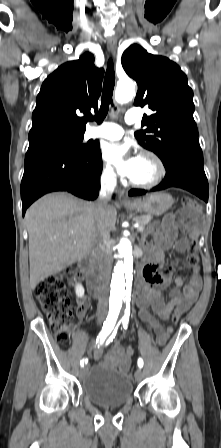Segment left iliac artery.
<instances>
[{"instance_id": "obj_1", "label": "left iliac artery", "mask_w": 221, "mask_h": 448, "mask_svg": "<svg viewBox=\"0 0 221 448\" xmlns=\"http://www.w3.org/2000/svg\"><path fill=\"white\" fill-rule=\"evenodd\" d=\"M128 321H129V314H127V313L125 312V315H124V316L122 317V319L120 320V322H122V325H123L124 329H127ZM137 364H138V366H139L140 368L143 367L144 362H143L142 358H139V359H138Z\"/></svg>"}]
</instances>
